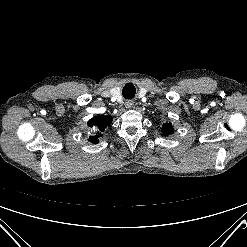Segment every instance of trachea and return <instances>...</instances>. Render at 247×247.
I'll use <instances>...</instances> for the list:
<instances>
[{"mask_svg": "<svg viewBox=\"0 0 247 247\" xmlns=\"http://www.w3.org/2000/svg\"><path fill=\"white\" fill-rule=\"evenodd\" d=\"M122 94H123L124 98H126V99L133 98L134 95H135V88H134V86L131 85V84L125 85V87L122 90Z\"/></svg>", "mask_w": 247, "mask_h": 247, "instance_id": "3493384b", "label": "trachea"}]
</instances>
